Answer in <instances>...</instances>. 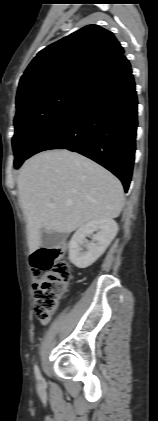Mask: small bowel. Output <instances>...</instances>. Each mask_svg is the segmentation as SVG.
<instances>
[{
    "label": "small bowel",
    "instance_id": "obj_1",
    "mask_svg": "<svg viewBox=\"0 0 158 421\" xmlns=\"http://www.w3.org/2000/svg\"><path fill=\"white\" fill-rule=\"evenodd\" d=\"M48 321H49V318L45 319V320H42V324H46Z\"/></svg>",
    "mask_w": 158,
    "mask_h": 421
}]
</instances>
